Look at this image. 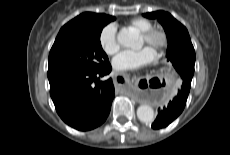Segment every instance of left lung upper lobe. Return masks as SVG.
Listing matches in <instances>:
<instances>
[{"instance_id":"left-lung-upper-lobe-1","label":"left lung upper lobe","mask_w":230,"mask_h":155,"mask_svg":"<svg viewBox=\"0 0 230 155\" xmlns=\"http://www.w3.org/2000/svg\"><path fill=\"white\" fill-rule=\"evenodd\" d=\"M144 16L157 19L162 24L168 39L167 61L172 62L182 79H192L194 74L195 51L185 26L165 11L145 13Z\"/></svg>"}]
</instances>
